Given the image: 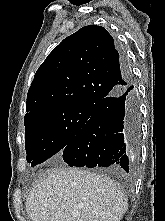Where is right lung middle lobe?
<instances>
[{
  "label": "right lung middle lobe",
  "mask_w": 165,
  "mask_h": 221,
  "mask_svg": "<svg viewBox=\"0 0 165 221\" xmlns=\"http://www.w3.org/2000/svg\"><path fill=\"white\" fill-rule=\"evenodd\" d=\"M92 110V105L58 106L25 119L27 162L35 166L62 152L89 120Z\"/></svg>",
  "instance_id": "obj_1"
}]
</instances>
